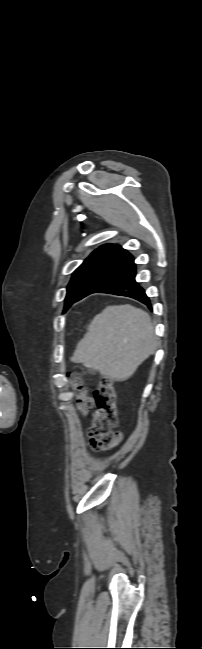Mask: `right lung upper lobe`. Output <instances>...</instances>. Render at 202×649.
Returning <instances> with one entry per match:
<instances>
[{"label":"right lung upper lobe","instance_id":"obj_1","mask_svg":"<svg viewBox=\"0 0 202 649\" xmlns=\"http://www.w3.org/2000/svg\"><path fill=\"white\" fill-rule=\"evenodd\" d=\"M124 253H127V251L122 249L118 245L106 244L96 249L92 254H108V255L120 256Z\"/></svg>","mask_w":202,"mask_h":649}]
</instances>
